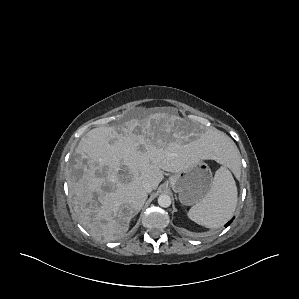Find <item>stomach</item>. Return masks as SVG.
Returning <instances> with one entry per match:
<instances>
[{"mask_svg": "<svg viewBox=\"0 0 299 299\" xmlns=\"http://www.w3.org/2000/svg\"><path fill=\"white\" fill-rule=\"evenodd\" d=\"M169 181L181 204L194 205L208 195L213 177L208 164L200 161L185 171L174 173Z\"/></svg>", "mask_w": 299, "mask_h": 299, "instance_id": "1", "label": "stomach"}]
</instances>
